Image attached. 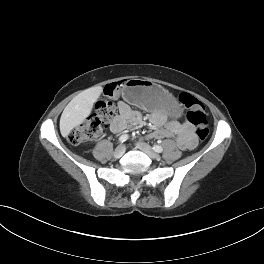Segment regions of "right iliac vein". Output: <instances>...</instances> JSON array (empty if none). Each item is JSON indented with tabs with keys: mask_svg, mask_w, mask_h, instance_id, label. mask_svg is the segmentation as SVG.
I'll return each mask as SVG.
<instances>
[{
	"mask_svg": "<svg viewBox=\"0 0 264 264\" xmlns=\"http://www.w3.org/2000/svg\"><path fill=\"white\" fill-rule=\"evenodd\" d=\"M125 150H126L125 145L123 144L119 145L114 151V157L120 158L125 153Z\"/></svg>",
	"mask_w": 264,
	"mask_h": 264,
	"instance_id": "1",
	"label": "right iliac vein"
}]
</instances>
